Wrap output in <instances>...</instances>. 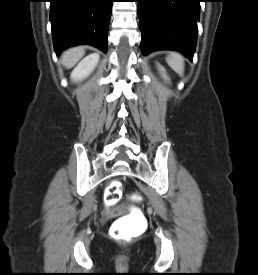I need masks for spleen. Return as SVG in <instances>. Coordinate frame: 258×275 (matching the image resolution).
I'll return each instance as SVG.
<instances>
[{
	"label": "spleen",
	"instance_id": "1",
	"mask_svg": "<svg viewBox=\"0 0 258 275\" xmlns=\"http://www.w3.org/2000/svg\"><path fill=\"white\" fill-rule=\"evenodd\" d=\"M168 65L179 75L183 74L184 71V62L183 57L179 53L173 52L170 56L167 57Z\"/></svg>",
	"mask_w": 258,
	"mask_h": 275
}]
</instances>
